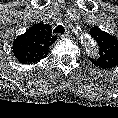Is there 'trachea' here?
<instances>
[{
  "mask_svg": "<svg viewBox=\"0 0 118 118\" xmlns=\"http://www.w3.org/2000/svg\"><path fill=\"white\" fill-rule=\"evenodd\" d=\"M53 33H60L64 34L65 33V28L62 25H58L54 30Z\"/></svg>",
  "mask_w": 118,
  "mask_h": 118,
  "instance_id": "3493384b",
  "label": "trachea"
}]
</instances>
